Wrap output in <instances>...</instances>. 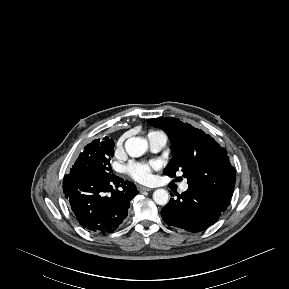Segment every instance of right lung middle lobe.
Here are the masks:
<instances>
[{
	"label": "right lung middle lobe",
	"mask_w": 289,
	"mask_h": 289,
	"mask_svg": "<svg viewBox=\"0 0 289 289\" xmlns=\"http://www.w3.org/2000/svg\"><path fill=\"white\" fill-rule=\"evenodd\" d=\"M114 142L108 137L93 140L84 147L72 169L96 178H110L112 169L110 158L114 155Z\"/></svg>",
	"instance_id": "1"
}]
</instances>
